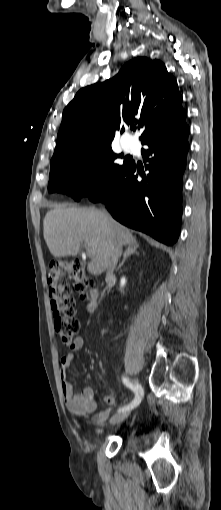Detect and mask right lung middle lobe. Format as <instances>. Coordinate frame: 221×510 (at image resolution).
<instances>
[{"label":"right lung middle lobe","instance_id":"right-lung-middle-lobe-1","mask_svg":"<svg viewBox=\"0 0 221 510\" xmlns=\"http://www.w3.org/2000/svg\"><path fill=\"white\" fill-rule=\"evenodd\" d=\"M123 157L113 153L111 145L73 150L51 164L48 190L66 193L76 201L92 198L128 168L131 161L115 162Z\"/></svg>","mask_w":221,"mask_h":510}]
</instances>
